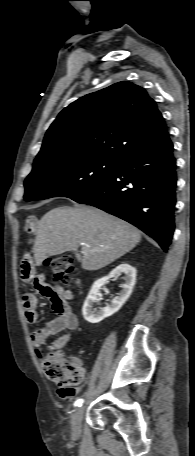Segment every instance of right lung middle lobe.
Instances as JSON below:
<instances>
[{
	"instance_id": "obj_1",
	"label": "right lung middle lobe",
	"mask_w": 195,
	"mask_h": 456,
	"mask_svg": "<svg viewBox=\"0 0 195 456\" xmlns=\"http://www.w3.org/2000/svg\"><path fill=\"white\" fill-rule=\"evenodd\" d=\"M117 167L118 161L102 157H67L40 163L25 180L24 199H74L98 187Z\"/></svg>"
}]
</instances>
